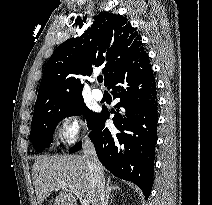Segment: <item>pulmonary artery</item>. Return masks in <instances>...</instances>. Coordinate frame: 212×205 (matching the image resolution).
Segmentation results:
<instances>
[{
  "label": "pulmonary artery",
  "mask_w": 212,
  "mask_h": 205,
  "mask_svg": "<svg viewBox=\"0 0 212 205\" xmlns=\"http://www.w3.org/2000/svg\"><path fill=\"white\" fill-rule=\"evenodd\" d=\"M92 96L95 100L100 101L103 99V92L100 89H93Z\"/></svg>",
  "instance_id": "e3ab8cb5"
}]
</instances>
